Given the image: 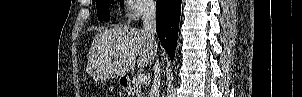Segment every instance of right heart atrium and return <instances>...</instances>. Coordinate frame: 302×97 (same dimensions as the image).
<instances>
[{
	"instance_id": "right-heart-atrium-1",
	"label": "right heart atrium",
	"mask_w": 302,
	"mask_h": 97,
	"mask_svg": "<svg viewBox=\"0 0 302 97\" xmlns=\"http://www.w3.org/2000/svg\"><path fill=\"white\" fill-rule=\"evenodd\" d=\"M130 6L125 12V18L130 22L138 21L140 18L149 15L153 10L151 1L130 0Z\"/></svg>"
}]
</instances>
